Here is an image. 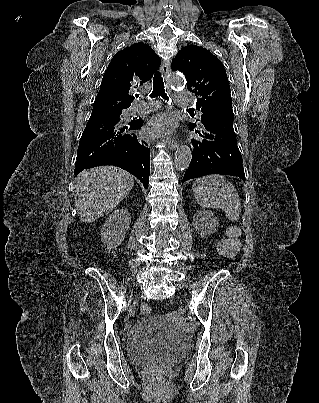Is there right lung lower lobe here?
<instances>
[{
	"label": "right lung lower lobe",
	"instance_id": "right-lung-lower-lobe-1",
	"mask_svg": "<svg viewBox=\"0 0 319 403\" xmlns=\"http://www.w3.org/2000/svg\"><path fill=\"white\" fill-rule=\"evenodd\" d=\"M141 119L124 123L122 117L90 118L81 136L74 175L101 165L120 167L148 188L150 150L137 134Z\"/></svg>",
	"mask_w": 319,
	"mask_h": 403
}]
</instances>
